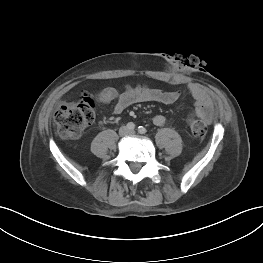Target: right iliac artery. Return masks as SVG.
Masks as SVG:
<instances>
[{
	"mask_svg": "<svg viewBox=\"0 0 263 263\" xmlns=\"http://www.w3.org/2000/svg\"><path fill=\"white\" fill-rule=\"evenodd\" d=\"M127 128H128L129 130H134V129H135V124H134L133 122H129V123L127 124Z\"/></svg>",
	"mask_w": 263,
	"mask_h": 263,
	"instance_id": "obj_1",
	"label": "right iliac artery"
}]
</instances>
